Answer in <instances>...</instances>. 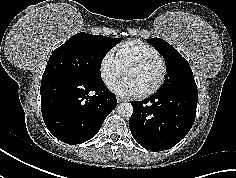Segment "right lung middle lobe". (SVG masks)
Masks as SVG:
<instances>
[{"label": "right lung middle lobe", "instance_id": "1", "mask_svg": "<svg viewBox=\"0 0 236 178\" xmlns=\"http://www.w3.org/2000/svg\"><path fill=\"white\" fill-rule=\"evenodd\" d=\"M118 42L120 38L88 33L75 34L52 53L43 77L66 76L87 82H99L102 80L101 62Z\"/></svg>", "mask_w": 236, "mask_h": 178}]
</instances>
